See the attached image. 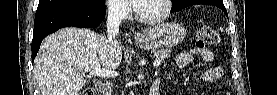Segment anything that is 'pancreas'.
Here are the masks:
<instances>
[{"label":"pancreas","instance_id":"1","mask_svg":"<svg viewBox=\"0 0 277 95\" xmlns=\"http://www.w3.org/2000/svg\"><path fill=\"white\" fill-rule=\"evenodd\" d=\"M171 52H172V50L169 49V48L168 49H161V50L156 52V55H157L158 59L164 60V59L169 58Z\"/></svg>","mask_w":277,"mask_h":95}]
</instances>
